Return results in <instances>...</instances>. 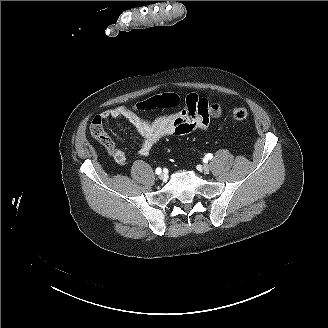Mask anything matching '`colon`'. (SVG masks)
<instances>
[{"label": "colon", "mask_w": 328, "mask_h": 328, "mask_svg": "<svg viewBox=\"0 0 328 328\" xmlns=\"http://www.w3.org/2000/svg\"><path fill=\"white\" fill-rule=\"evenodd\" d=\"M180 104V98L174 93H164L153 96L134 105L139 111H148L159 108L175 107ZM232 116L237 121L245 120L248 117V111L244 107H236L232 111ZM90 132L93 138L107 150L113 148V142L103 128V120L100 116L94 117L91 122Z\"/></svg>", "instance_id": "obj_1"}]
</instances>
